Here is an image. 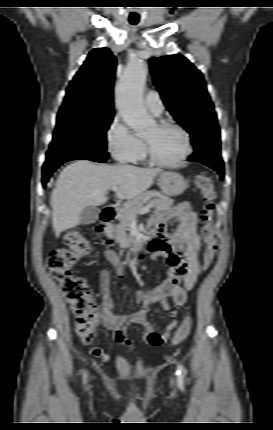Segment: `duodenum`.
Listing matches in <instances>:
<instances>
[{
    "instance_id": "obj_1",
    "label": "duodenum",
    "mask_w": 273,
    "mask_h": 430,
    "mask_svg": "<svg viewBox=\"0 0 273 430\" xmlns=\"http://www.w3.org/2000/svg\"><path fill=\"white\" fill-rule=\"evenodd\" d=\"M117 215V208L113 205L106 206L100 215V222L97 226V234L103 240V242L107 245L109 250H112V241L107 237V227L112 222ZM153 241H151L148 245H146V241L140 240L134 242L129 248H126L122 251V257L126 258L132 255H135L145 248H151Z\"/></svg>"
}]
</instances>
